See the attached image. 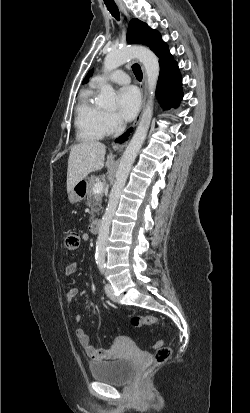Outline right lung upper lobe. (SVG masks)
Masks as SVG:
<instances>
[{"mask_svg":"<svg viewBox=\"0 0 250 413\" xmlns=\"http://www.w3.org/2000/svg\"><path fill=\"white\" fill-rule=\"evenodd\" d=\"M92 73H93V69L88 72V74H87V76H86V78H85V81L88 80V78L92 75Z\"/></svg>","mask_w":250,"mask_h":413,"instance_id":"right-lung-upper-lobe-1","label":"right lung upper lobe"}]
</instances>
